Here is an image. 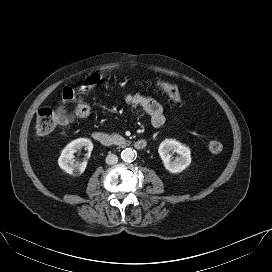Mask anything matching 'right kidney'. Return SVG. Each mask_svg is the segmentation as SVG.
<instances>
[{"mask_svg": "<svg viewBox=\"0 0 272 272\" xmlns=\"http://www.w3.org/2000/svg\"><path fill=\"white\" fill-rule=\"evenodd\" d=\"M83 147L88 151L89 157L93 149V143L91 142L90 139L78 138L70 142L62 150L61 155L58 159V164L60 168L70 175L73 176L81 175L86 169L87 162L84 161L82 163H79L75 161L73 154Z\"/></svg>", "mask_w": 272, "mask_h": 272, "instance_id": "right-kidney-1", "label": "right kidney"}]
</instances>
